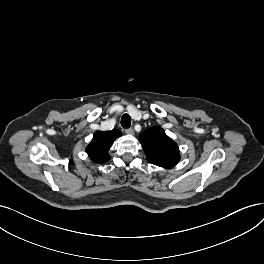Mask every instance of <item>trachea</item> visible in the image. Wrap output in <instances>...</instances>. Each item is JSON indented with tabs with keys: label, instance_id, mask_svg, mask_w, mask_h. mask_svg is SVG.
<instances>
[{
	"label": "trachea",
	"instance_id": "1",
	"mask_svg": "<svg viewBox=\"0 0 264 264\" xmlns=\"http://www.w3.org/2000/svg\"><path fill=\"white\" fill-rule=\"evenodd\" d=\"M131 125V117L129 114H124L121 118V126L123 128H129Z\"/></svg>",
	"mask_w": 264,
	"mask_h": 264
}]
</instances>
